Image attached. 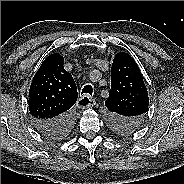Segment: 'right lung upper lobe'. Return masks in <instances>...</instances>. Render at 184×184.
Masks as SVG:
<instances>
[{"mask_svg": "<svg viewBox=\"0 0 184 184\" xmlns=\"http://www.w3.org/2000/svg\"><path fill=\"white\" fill-rule=\"evenodd\" d=\"M63 63V57L54 53L43 61L35 74L29 89V111L34 120L59 118L68 114L76 103V84Z\"/></svg>", "mask_w": 184, "mask_h": 184, "instance_id": "obj_1", "label": "right lung upper lobe"}]
</instances>
